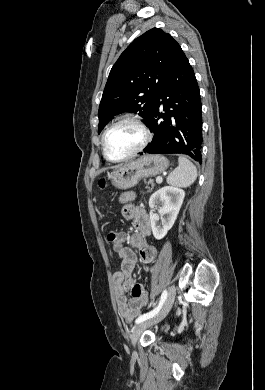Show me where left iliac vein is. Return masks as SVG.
I'll return each mask as SVG.
<instances>
[{"label":"left iliac vein","mask_w":265,"mask_h":390,"mask_svg":"<svg viewBox=\"0 0 265 390\" xmlns=\"http://www.w3.org/2000/svg\"><path fill=\"white\" fill-rule=\"evenodd\" d=\"M175 296H176V288H175V286H171L169 289V292L167 294L166 300H165L163 306L161 307V309L153 317H151L143 322H140L139 324H137L133 328L132 334H131V342H132L133 346H135L137 344L140 335L142 334V332L146 328H148L154 324H157L158 322H160L161 320H163L166 317V315L168 314V312L170 311V309L174 303Z\"/></svg>","instance_id":"4c4485c4"}]
</instances>
